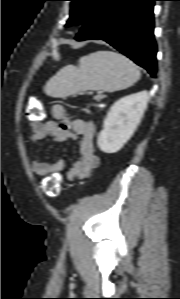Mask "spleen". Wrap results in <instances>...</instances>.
Instances as JSON below:
<instances>
[{
  "instance_id": "1",
  "label": "spleen",
  "mask_w": 180,
  "mask_h": 299,
  "mask_svg": "<svg viewBox=\"0 0 180 299\" xmlns=\"http://www.w3.org/2000/svg\"><path fill=\"white\" fill-rule=\"evenodd\" d=\"M140 78L138 66L124 55L97 51L81 57L78 66L67 65L45 87L56 98L75 96L86 90L114 92L127 89Z\"/></svg>"
}]
</instances>
